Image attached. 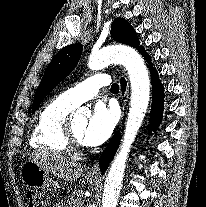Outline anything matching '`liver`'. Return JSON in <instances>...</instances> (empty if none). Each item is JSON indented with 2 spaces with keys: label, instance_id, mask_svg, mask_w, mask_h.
Masks as SVG:
<instances>
[{
  "label": "liver",
  "instance_id": "liver-1",
  "mask_svg": "<svg viewBox=\"0 0 206 207\" xmlns=\"http://www.w3.org/2000/svg\"><path fill=\"white\" fill-rule=\"evenodd\" d=\"M29 159L65 181H73L83 174V167L70 158L52 152H35L29 154Z\"/></svg>",
  "mask_w": 206,
  "mask_h": 207
}]
</instances>
